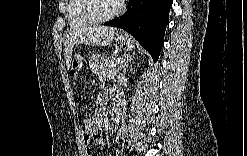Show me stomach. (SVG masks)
I'll use <instances>...</instances> for the list:
<instances>
[{"mask_svg": "<svg viewBox=\"0 0 247 156\" xmlns=\"http://www.w3.org/2000/svg\"><path fill=\"white\" fill-rule=\"evenodd\" d=\"M115 41L118 42L120 46L123 47L125 50L130 51L134 48L133 42L131 41L130 37L126 34L117 35ZM79 59L82 60L81 57ZM100 63H101V57L99 55L93 54L89 57V64L92 70L98 68Z\"/></svg>", "mask_w": 247, "mask_h": 156, "instance_id": "obj_1", "label": "stomach"}]
</instances>
